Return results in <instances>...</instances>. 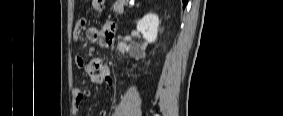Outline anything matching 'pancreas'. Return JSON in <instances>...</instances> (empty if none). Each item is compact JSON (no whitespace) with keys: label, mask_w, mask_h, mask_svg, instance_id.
<instances>
[{"label":"pancreas","mask_w":283,"mask_h":116,"mask_svg":"<svg viewBox=\"0 0 283 116\" xmlns=\"http://www.w3.org/2000/svg\"><path fill=\"white\" fill-rule=\"evenodd\" d=\"M113 11L117 14L123 13V1L119 0L113 5Z\"/></svg>","instance_id":"pancreas-1"}]
</instances>
